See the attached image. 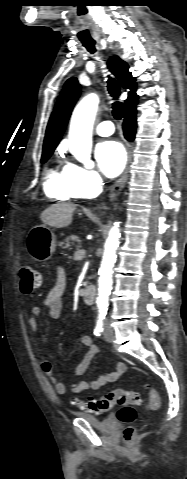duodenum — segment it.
Instances as JSON below:
<instances>
[{
	"label": "duodenum",
	"mask_w": 187,
	"mask_h": 479,
	"mask_svg": "<svg viewBox=\"0 0 187 479\" xmlns=\"http://www.w3.org/2000/svg\"><path fill=\"white\" fill-rule=\"evenodd\" d=\"M81 297L86 304H92L96 298V288L87 285L82 289Z\"/></svg>",
	"instance_id": "duodenum-1"
}]
</instances>
